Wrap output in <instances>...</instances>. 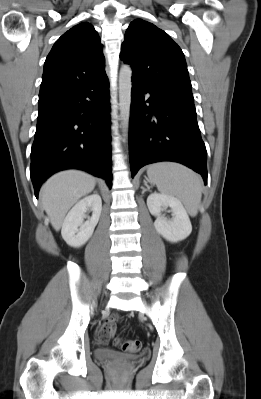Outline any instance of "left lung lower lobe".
<instances>
[{"mask_svg": "<svg viewBox=\"0 0 261 399\" xmlns=\"http://www.w3.org/2000/svg\"><path fill=\"white\" fill-rule=\"evenodd\" d=\"M149 93L150 96H146ZM129 157L132 177L144 165L182 163L207 184V152L192 93L151 87L132 77Z\"/></svg>", "mask_w": 261, "mask_h": 399, "instance_id": "left-lung-lower-lobe-1", "label": "left lung lower lobe"}]
</instances>
